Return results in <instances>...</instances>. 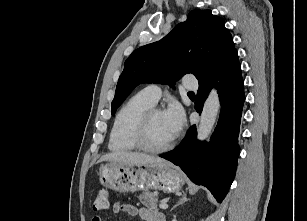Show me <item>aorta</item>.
Here are the masks:
<instances>
[{
  "mask_svg": "<svg viewBox=\"0 0 307 221\" xmlns=\"http://www.w3.org/2000/svg\"><path fill=\"white\" fill-rule=\"evenodd\" d=\"M220 108V99L216 89H212L209 93L201 113L200 122L197 127V139L206 140L216 121Z\"/></svg>",
  "mask_w": 307,
  "mask_h": 221,
  "instance_id": "1",
  "label": "aorta"
}]
</instances>
